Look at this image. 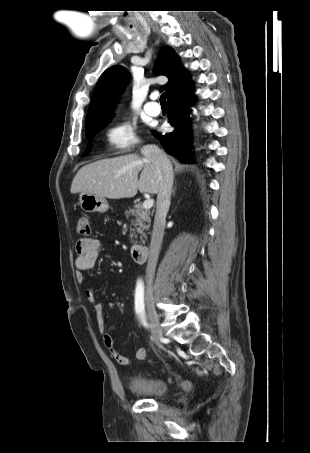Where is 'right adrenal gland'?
<instances>
[{
  "label": "right adrenal gland",
  "mask_w": 310,
  "mask_h": 453,
  "mask_svg": "<svg viewBox=\"0 0 310 453\" xmlns=\"http://www.w3.org/2000/svg\"><path fill=\"white\" fill-rule=\"evenodd\" d=\"M175 193V188L173 189V194Z\"/></svg>",
  "instance_id": "obj_1"
}]
</instances>
